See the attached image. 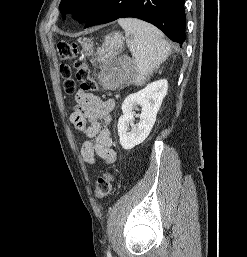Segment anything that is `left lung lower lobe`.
Here are the masks:
<instances>
[{"mask_svg":"<svg viewBox=\"0 0 247 257\" xmlns=\"http://www.w3.org/2000/svg\"><path fill=\"white\" fill-rule=\"evenodd\" d=\"M123 17L147 21L181 46L185 41L184 0H102L86 20L85 28Z\"/></svg>","mask_w":247,"mask_h":257,"instance_id":"left-lung-lower-lobe-1","label":"left lung lower lobe"}]
</instances>
